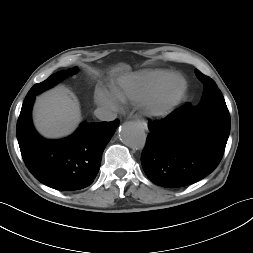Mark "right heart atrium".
<instances>
[{
  "mask_svg": "<svg viewBox=\"0 0 253 253\" xmlns=\"http://www.w3.org/2000/svg\"><path fill=\"white\" fill-rule=\"evenodd\" d=\"M95 102L103 107L116 109L117 102L110 92L105 89L98 88L95 92Z\"/></svg>",
  "mask_w": 253,
  "mask_h": 253,
  "instance_id": "obj_1",
  "label": "right heart atrium"
}]
</instances>
